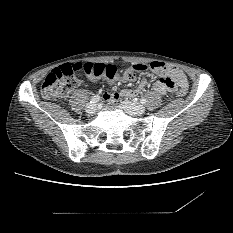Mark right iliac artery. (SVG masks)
<instances>
[{"mask_svg":"<svg viewBox=\"0 0 233 233\" xmlns=\"http://www.w3.org/2000/svg\"><path fill=\"white\" fill-rule=\"evenodd\" d=\"M100 100L98 95H95L91 98L90 103H97Z\"/></svg>","mask_w":233,"mask_h":233,"instance_id":"1","label":"right iliac artery"}]
</instances>
